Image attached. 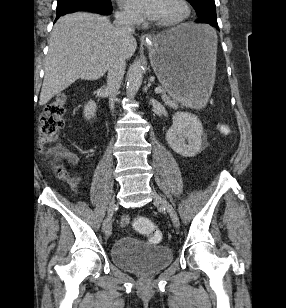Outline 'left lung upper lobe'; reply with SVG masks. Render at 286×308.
Listing matches in <instances>:
<instances>
[{"mask_svg": "<svg viewBox=\"0 0 286 308\" xmlns=\"http://www.w3.org/2000/svg\"><path fill=\"white\" fill-rule=\"evenodd\" d=\"M196 10L197 15H201L207 11H216L214 0H187Z\"/></svg>", "mask_w": 286, "mask_h": 308, "instance_id": "1", "label": "left lung upper lobe"}]
</instances>
